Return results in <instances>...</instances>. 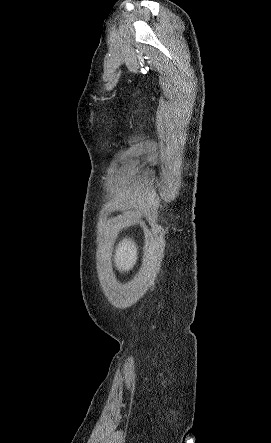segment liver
Segmentation results:
<instances>
[{
    "label": "liver",
    "instance_id": "obj_1",
    "mask_svg": "<svg viewBox=\"0 0 271 443\" xmlns=\"http://www.w3.org/2000/svg\"><path fill=\"white\" fill-rule=\"evenodd\" d=\"M138 259V247L136 245V241L132 239V237H123L121 241H119L115 253H114V263L121 271H130L133 269L135 263H137Z\"/></svg>",
    "mask_w": 271,
    "mask_h": 443
}]
</instances>
